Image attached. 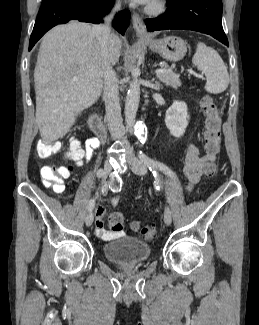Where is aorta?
<instances>
[{
	"label": "aorta",
	"instance_id": "762f6f07",
	"mask_svg": "<svg viewBox=\"0 0 259 325\" xmlns=\"http://www.w3.org/2000/svg\"><path fill=\"white\" fill-rule=\"evenodd\" d=\"M133 80L130 84L125 101V123L127 130L131 131L134 127L135 118L140 100V69L135 67L132 70Z\"/></svg>",
	"mask_w": 259,
	"mask_h": 325
}]
</instances>
